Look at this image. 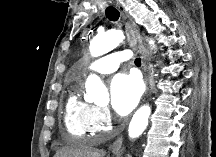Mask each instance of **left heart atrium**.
I'll list each match as a JSON object with an SVG mask.
<instances>
[{
  "label": "left heart atrium",
  "instance_id": "obj_1",
  "mask_svg": "<svg viewBox=\"0 0 216 157\" xmlns=\"http://www.w3.org/2000/svg\"><path fill=\"white\" fill-rule=\"evenodd\" d=\"M141 96V84L136 76L121 73L110 83V99L113 109L121 116L129 114Z\"/></svg>",
  "mask_w": 216,
  "mask_h": 157
}]
</instances>
